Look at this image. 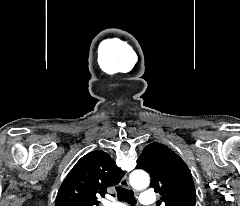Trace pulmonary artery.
I'll return each instance as SVG.
<instances>
[{"label":"pulmonary artery","instance_id":"pulmonary-artery-1","mask_svg":"<svg viewBox=\"0 0 240 206\" xmlns=\"http://www.w3.org/2000/svg\"><path fill=\"white\" fill-rule=\"evenodd\" d=\"M154 202H155V194L152 191L147 190L142 192L140 196V203L142 205L148 206V205H152ZM108 206H124V205L121 203H111Z\"/></svg>","mask_w":240,"mask_h":206}]
</instances>
